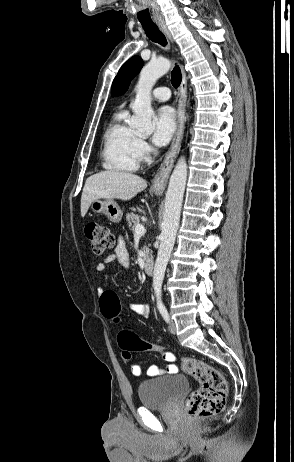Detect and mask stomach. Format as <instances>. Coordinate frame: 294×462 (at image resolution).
I'll return each mask as SVG.
<instances>
[{
  "label": "stomach",
  "mask_w": 294,
  "mask_h": 462,
  "mask_svg": "<svg viewBox=\"0 0 294 462\" xmlns=\"http://www.w3.org/2000/svg\"><path fill=\"white\" fill-rule=\"evenodd\" d=\"M156 194H159L156 192ZM91 210L96 214H105L107 218L114 223H118L122 219V211L114 199H97L91 205Z\"/></svg>",
  "instance_id": "1"
}]
</instances>
